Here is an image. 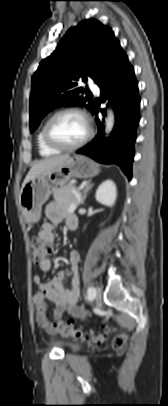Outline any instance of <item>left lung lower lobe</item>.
<instances>
[{"instance_id": "1", "label": "left lung lower lobe", "mask_w": 168, "mask_h": 406, "mask_svg": "<svg viewBox=\"0 0 168 406\" xmlns=\"http://www.w3.org/2000/svg\"><path fill=\"white\" fill-rule=\"evenodd\" d=\"M102 101L109 98L113 102L116 114L114 130L107 141L103 138L102 122L96 116L98 134L91 143L77 150L76 153L90 156L101 163H115L131 179V168L134 158V142L139 123L140 97L134 69L126 53L122 50L106 70L98 83ZM95 105L93 114H98ZM105 114L106 110H100Z\"/></svg>"}]
</instances>
